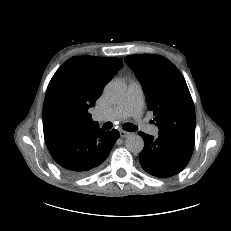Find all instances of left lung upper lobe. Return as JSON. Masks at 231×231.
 <instances>
[{
	"instance_id": "obj_1",
	"label": "left lung upper lobe",
	"mask_w": 231,
	"mask_h": 231,
	"mask_svg": "<svg viewBox=\"0 0 231 231\" xmlns=\"http://www.w3.org/2000/svg\"><path fill=\"white\" fill-rule=\"evenodd\" d=\"M142 84L147 107L156 115L159 134L195 139V109L186 81L165 57L139 54L125 57Z\"/></svg>"
}]
</instances>
